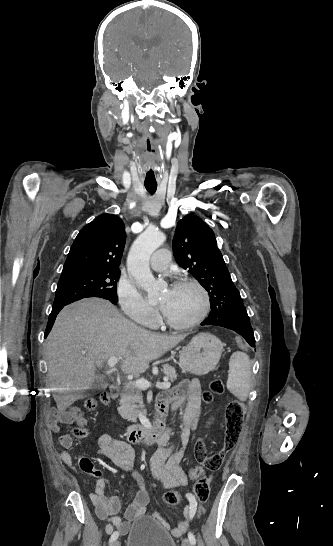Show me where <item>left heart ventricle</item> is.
<instances>
[{
    "label": "left heart ventricle",
    "mask_w": 333,
    "mask_h": 546,
    "mask_svg": "<svg viewBox=\"0 0 333 546\" xmlns=\"http://www.w3.org/2000/svg\"><path fill=\"white\" fill-rule=\"evenodd\" d=\"M164 306V313L171 320L185 323L194 319L200 311L202 298L199 291L192 286H181L166 289L159 299Z\"/></svg>",
    "instance_id": "obj_1"
}]
</instances>
